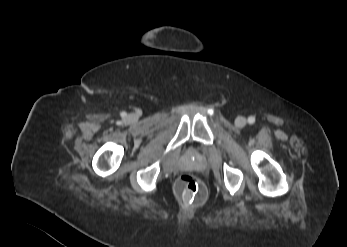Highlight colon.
Instances as JSON below:
<instances>
[{
  "instance_id": "5ec220e1",
  "label": "colon",
  "mask_w": 347,
  "mask_h": 247,
  "mask_svg": "<svg viewBox=\"0 0 347 247\" xmlns=\"http://www.w3.org/2000/svg\"><path fill=\"white\" fill-rule=\"evenodd\" d=\"M178 198L184 203L202 204L206 198V188L202 181L192 175H182L176 182Z\"/></svg>"
}]
</instances>
